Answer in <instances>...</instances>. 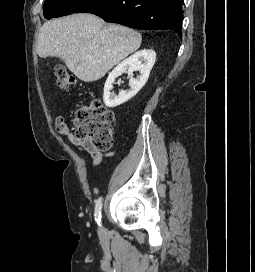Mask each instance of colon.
I'll return each mask as SVG.
<instances>
[{
	"label": "colon",
	"instance_id": "5ec220e1",
	"mask_svg": "<svg viewBox=\"0 0 255 272\" xmlns=\"http://www.w3.org/2000/svg\"><path fill=\"white\" fill-rule=\"evenodd\" d=\"M57 85L68 90L76 84V78L65 68H56ZM115 126L114 112L99 101L83 106L75 111L74 127L76 138L98 151H108L112 147Z\"/></svg>",
	"mask_w": 255,
	"mask_h": 272
}]
</instances>
